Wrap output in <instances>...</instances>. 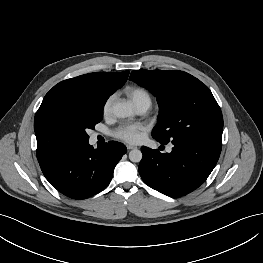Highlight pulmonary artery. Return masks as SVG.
<instances>
[{"mask_svg":"<svg viewBox=\"0 0 263 263\" xmlns=\"http://www.w3.org/2000/svg\"><path fill=\"white\" fill-rule=\"evenodd\" d=\"M137 110H138V113L143 114L148 110V107H146V106L139 107V108H137ZM170 150H171V148L168 149V151H170Z\"/></svg>","mask_w":263,"mask_h":263,"instance_id":"e3ab8cb5","label":"pulmonary artery"}]
</instances>
